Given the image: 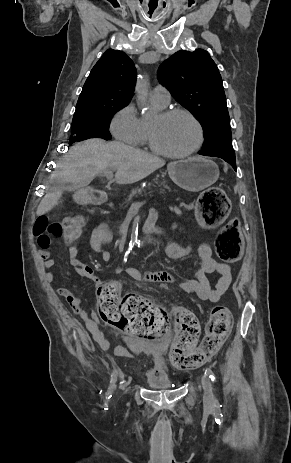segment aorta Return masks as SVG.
<instances>
[{
	"instance_id": "762f6f07",
	"label": "aorta",
	"mask_w": 291,
	"mask_h": 463,
	"mask_svg": "<svg viewBox=\"0 0 291 463\" xmlns=\"http://www.w3.org/2000/svg\"><path fill=\"white\" fill-rule=\"evenodd\" d=\"M148 83L145 79L137 81L135 91L137 93V102L141 107H147Z\"/></svg>"
}]
</instances>
